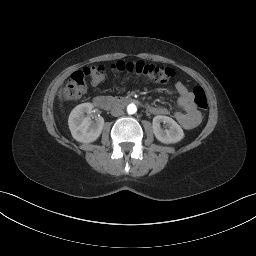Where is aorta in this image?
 <instances>
[{
    "mask_svg": "<svg viewBox=\"0 0 256 256\" xmlns=\"http://www.w3.org/2000/svg\"><path fill=\"white\" fill-rule=\"evenodd\" d=\"M128 114H135L137 112V107L135 104L131 103L127 106Z\"/></svg>",
    "mask_w": 256,
    "mask_h": 256,
    "instance_id": "obj_1",
    "label": "aorta"
}]
</instances>
